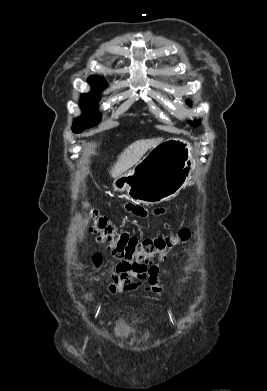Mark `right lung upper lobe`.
<instances>
[{
  "label": "right lung upper lobe",
  "mask_w": 267,
  "mask_h": 391,
  "mask_svg": "<svg viewBox=\"0 0 267 391\" xmlns=\"http://www.w3.org/2000/svg\"><path fill=\"white\" fill-rule=\"evenodd\" d=\"M89 83L92 86V91L95 92H99L107 86L105 79L100 76H91L89 78Z\"/></svg>",
  "instance_id": "cb5924a9"
}]
</instances>
